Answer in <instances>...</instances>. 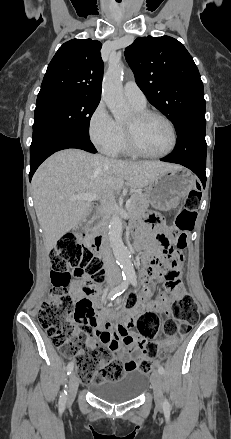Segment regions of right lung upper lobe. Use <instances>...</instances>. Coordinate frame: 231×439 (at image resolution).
Instances as JSON below:
<instances>
[{"instance_id":"obj_1","label":"right lung upper lobe","mask_w":231,"mask_h":439,"mask_svg":"<svg viewBox=\"0 0 231 439\" xmlns=\"http://www.w3.org/2000/svg\"><path fill=\"white\" fill-rule=\"evenodd\" d=\"M102 44L91 39L64 43L48 65L37 100L82 96L100 100L103 78Z\"/></svg>"}]
</instances>
